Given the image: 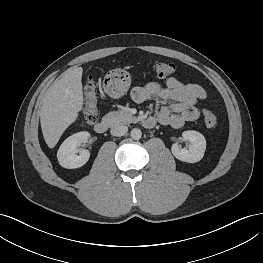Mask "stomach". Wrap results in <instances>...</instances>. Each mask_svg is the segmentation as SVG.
<instances>
[{
	"label": "stomach",
	"mask_w": 263,
	"mask_h": 263,
	"mask_svg": "<svg viewBox=\"0 0 263 263\" xmlns=\"http://www.w3.org/2000/svg\"><path fill=\"white\" fill-rule=\"evenodd\" d=\"M130 85V74L120 68L110 71L105 78V90L110 97L115 99L125 95Z\"/></svg>",
	"instance_id": "stomach-1"
}]
</instances>
